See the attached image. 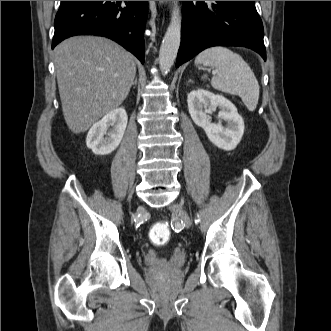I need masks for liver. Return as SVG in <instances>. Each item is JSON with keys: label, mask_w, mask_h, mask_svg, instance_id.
<instances>
[{"label": "liver", "mask_w": 331, "mask_h": 331, "mask_svg": "<svg viewBox=\"0 0 331 331\" xmlns=\"http://www.w3.org/2000/svg\"><path fill=\"white\" fill-rule=\"evenodd\" d=\"M62 111L74 133L87 131L126 99L136 75L133 56L98 36H74L54 49Z\"/></svg>", "instance_id": "obj_1"}]
</instances>
